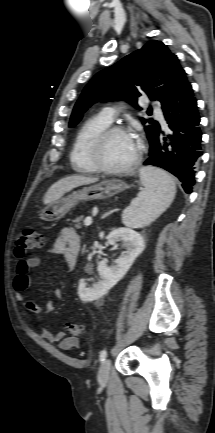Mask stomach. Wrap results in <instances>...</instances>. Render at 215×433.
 Here are the masks:
<instances>
[{"mask_svg": "<svg viewBox=\"0 0 215 433\" xmlns=\"http://www.w3.org/2000/svg\"><path fill=\"white\" fill-rule=\"evenodd\" d=\"M126 185L118 180H107L80 190L73 191L71 194L58 200H52L41 212L40 218L44 221H55L64 217L79 202L89 200H100L114 196L123 191ZM48 195L46 194L44 201Z\"/></svg>", "mask_w": 215, "mask_h": 433, "instance_id": "stomach-1", "label": "stomach"}]
</instances>
